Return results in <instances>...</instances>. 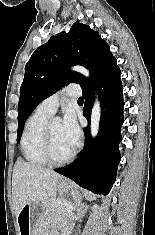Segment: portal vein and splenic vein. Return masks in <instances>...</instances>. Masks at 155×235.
Listing matches in <instances>:
<instances>
[{"instance_id": "1", "label": "portal vein and splenic vein", "mask_w": 155, "mask_h": 235, "mask_svg": "<svg viewBox=\"0 0 155 235\" xmlns=\"http://www.w3.org/2000/svg\"><path fill=\"white\" fill-rule=\"evenodd\" d=\"M65 210H66L67 212H71L73 209H72V207H70V206H66V207H65Z\"/></svg>"}]
</instances>
